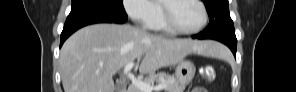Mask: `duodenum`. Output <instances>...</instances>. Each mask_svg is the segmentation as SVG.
Masks as SVG:
<instances>
[{"label": "duodenum", "mask_w": 296, "mask_h": 92, "mask_svg": "<svg viewBox=\"0 0 296 92\" xmlns=\"http://www.w3.org/2000/svg\"><path fill=\"white\" fill-rule=\"evenodd\" d=\"M131 91H132V88H128V89L123 90L122 92H131Z\"/></svg>", "instance_id": "duodenum-1"}]
</instances>
